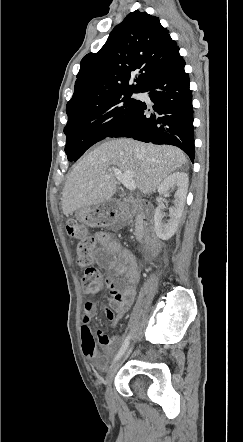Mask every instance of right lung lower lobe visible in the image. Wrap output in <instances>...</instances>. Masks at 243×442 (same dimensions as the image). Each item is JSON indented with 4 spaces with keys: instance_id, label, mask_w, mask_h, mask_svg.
<instances>
[{
    "instance_id": "obj_1",
    "label": "right lung lower lobe",
    "mask_w": 243,
    "mask_h": 442,
    "mask_svg": "<svg viewBox=\"0 0 243 442\" xmlns=\"http://www.w3.org/2000/svg\"><path fill=\"white\" fill-rule=\"evenodd\" d=\"M185 61L179 50L161 65L144 83L145 92L154 103V113L147 115V105L138 100L134 112L107 137H132L143 142L169 144L181 148L194 161L192 93Z\"/></svg>"
}]
</instances>
